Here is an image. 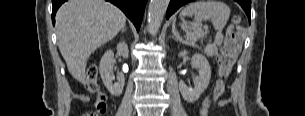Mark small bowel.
Instances as JSON below:
<instances>
[{
  "mask_svg": "<svg viewBox=\"0 0 305 116\" xmlns=\"http://www.w3.org/2000/svg\"><path fill=\"white\" fill-rule=\"evenodd\" d=\"M209 102H210L209 97H206L205 100H204V102H203V104H202L201 110H200V114H201L202 116H205V115H206V113H207V108H208V106H209Z\"/></svg>",
  "mask_w": 305,
  "mask_h": 116,
  "instance_id": "c3829d8e",
  "label": "small bowel"
}]
</instances>
